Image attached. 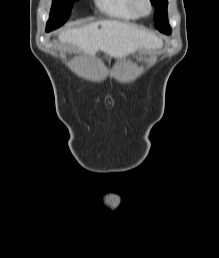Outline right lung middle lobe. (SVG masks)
Returning a JSON list of instances; mask_svg holds the SVG:
<instances>
[{
	"label": "right lung middle lobe",
	"mask_w": 219,
	"mask_h": 258,
	"mask_svg": "<svg viewBox=\"0 0 219 258\" xmlns=\"http://www.w3.org/2000/svg\"><path fill=\"white\" fill-rule=\"evenodd\" d=\"M77 0H53L46 31H52L63 25L70 16L72 5Z\"/></svg>",
	"instance_id": "1"
}]
</instances>
